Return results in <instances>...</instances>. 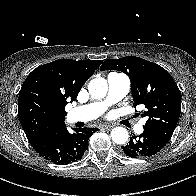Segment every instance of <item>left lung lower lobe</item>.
I'll list each match as a JSON object with an SVG mask.
<instances>
[{
  "label": "left lung lower lobe",
  "mask_w": 196,
  "mask_h": 196,
  "mask_svg": "<svg viewBox=\"0 0 196 196\" xmlns=\"http://www.w3.org/2000/svg\"><path fill=\"white\" fill-rule=\"evenodd\" d=\"M167 144L158 134L145 129L141 135L130 138L129 143L121 146L122 152L131 158L150 157L159 152Z\"/></svg>",
  "instance_id": "0a47b994"
}]
</instances>
